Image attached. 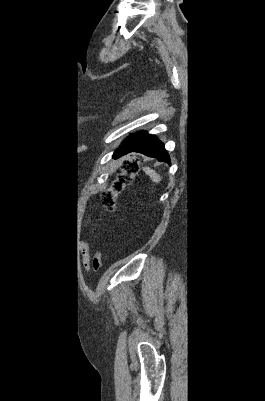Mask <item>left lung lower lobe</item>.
I'll return each mask as SVG.
<instances>
[{
	"instance_id": "obj_1",
	"label": "left lung lower lobe",
	"mask_w": 265,
	"mask_h": 401,
	"mask_svg": "<svg viewBox=\"0 0 265 401\" xmlns=\"http://www.w3.org/2000/svg\"><path fill=\"white\" fill-rule=\"evenodd\" d=\"M140 152L150 157H155L159 161L170 162L169 156L164 149V145L159 140L147 132H138L123 141L117 148L114 157H120L129 152Z\"/></svg>"
}]
</instances>
